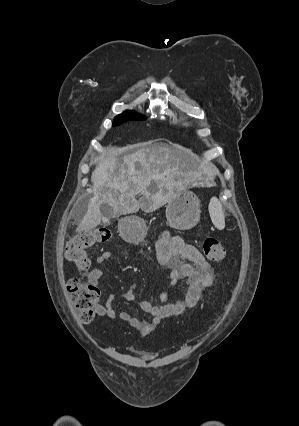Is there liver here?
I'll use <instances>...</instances> for the list:
<instances>
[{
  "label": "liver",
  "instance_id": "obj_1",
  "mask_svg": "<svg viewBox=\"0 0 299 426\" xmlns=\"http://www.w3.org/2000/svg\"><path fill=\"white\" fill-rule=\"evenodd\" d=\"M112 154L116 153L111 148ZM189 164L187 150L179 145L148 144L124 157L116 165L115 157H102L92 172L93 197L78 230L89 231L101 223L102 204L113 208L114 215L135 213L139 209L153 212L174 195L180 178L186 176ZM141 194L139 200L136 196Z\"/></svg>",
  "mask_w": 299,
  "mask_h": 426
}]
</instances>
